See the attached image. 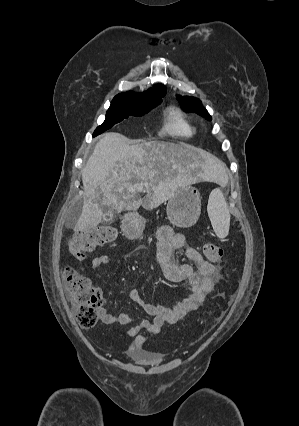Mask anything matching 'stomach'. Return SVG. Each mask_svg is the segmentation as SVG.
<instances>
[{"label":"stomach","instance_id":"obj_1","mask_svg":"<svg viewBox=\"0 0 299 426\" xmlns=\"http://www.w3.org/2000/svg\"><path fill=\"white\" fill-rule=\"evenodd\" d=\"M200 213V192L193 186L179 188L168 200L167 216L174 226L191 227L199 219ZM126 231L129 237L137 238L142 233V226L131 220L126 226Z\"/></svg>","mask_w":299,"mask_h":426}]
</instances>
